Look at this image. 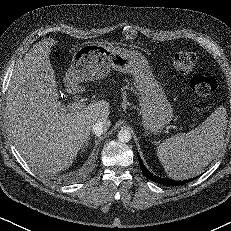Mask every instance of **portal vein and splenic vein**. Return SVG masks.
Listing matches in <instances>:
<instances>
[{
	"mask_svg": "<svg viewBox=\"0 0 231 231\" xmlns=\"http://www.w3.org/2000/svg\"><path fill=\"white\" fill-rule=\"evenodd\" d=\"M86 108V104L82 101H77L70 106L72 110H83Z\"/></svg>",
	"mask_w": 231,
	"mask_h": 231,
	"instance_id": "portal-vein-and-splenic-vein-1",
	"label": "portal vein and splenic vein"
}]
</instances>
